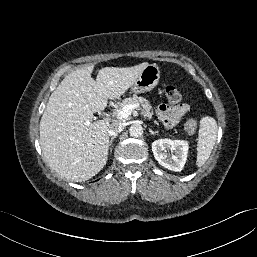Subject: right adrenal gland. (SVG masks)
Segmentation results:
<instances>
[{"label": "right adrenal gland", "mask_w": 257, "mask_h": 257, "mask_svg": "<svg viewBox=\"0 0 257 257\" xmlns=\"http://www.w3.org/2000/svg\"><path fill=\"white\" fill-rule=\"evenodd\" d=\"M116 137H117V135H115V136H113V137L111 138V140H110V142H109V145H110V146L112 145V142H113V140H114Z\"/></svg>", "instance_id": "1"}]
</instances>
